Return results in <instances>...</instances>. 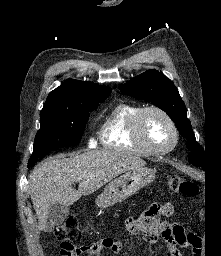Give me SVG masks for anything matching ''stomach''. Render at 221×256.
<instances>
[{
  "label": "stomach",
  "mask_w": 221,
  "mask_h": 256,
  "mask_svg": "<svg viewBox=\"0 0 221 256\" xmlns=\"http://www.w3.org/2000/svg\"><path fill=\"white\" fill-rule=\"evenodd\" d=\"M155 176V171L147 167L131 170L110 182L97 197L96 204L106 208L121 202L153 182Z\"/></svg>",
  "instance_id": "1"
}]
</instances>
